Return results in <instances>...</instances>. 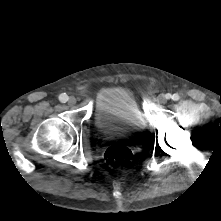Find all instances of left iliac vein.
I'll list each match as a JSON object with an SVG mask.
<instances>
[{
  "label": "left iliac vein",
  "mask_w": 221,
  "mask_h": 221,
  "mask_svg": "<svg viewBox=\"0 0 221 221\" xmlns=\"http://www.w3.org/2000/svg\"><path fill=\"white\" fill-rule=\"evenodd\" d=\"M159 101H160L161 103H166V101H167V96L164 95V94L160 95V96H159Z\"/></svg>",
  "instance_id": "4c4485c4"
}]
</instances>
